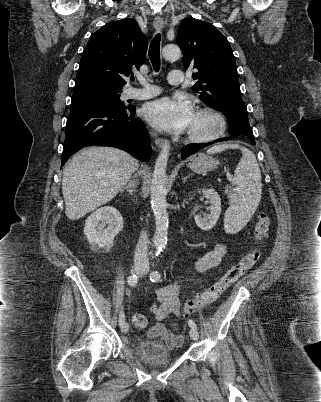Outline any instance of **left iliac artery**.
I'll use <instances>...</instances> for the list:
<instances>
[{"instance_id":"1","label":"left iliac artery","mask_w":321,"mask_h":402,"mask_svg":"<svg viewBox=\"0 0 321 402\" xmlns=\"http://www.w3.org/2000/svg\"><path fill=\"white\" fill-rule=\"evenodd\" d=\"M160 277H161V275H160V273L157 272V271H153V272L150 274V280H151L152 282H158V281L160 280ZM188 325H189V327H190L191 329H197V325L195 324V322H194L193 320H189V321H188Z\"/></svg>"}]
</instances>
